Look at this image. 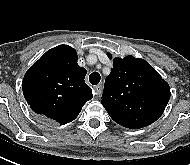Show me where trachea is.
Here are the masks:
<instances>
[{"label": "trachea", "instance_id": "3493384b", "mask_svg": "<svg viewBox=\"0 0 190 165\" xmlns=\"http://www.w3.org/2000/svg\"><path fill=\"white\" fill-rule=\"evenodd\" d=\"M101 76L98 72H93L89 76V81L92 85H97L100 82Z\"/></svg>", "mask_w": 190, "mask_h": 165}]
</instances>
